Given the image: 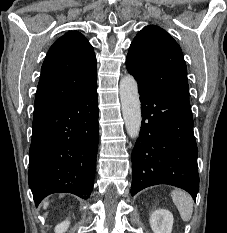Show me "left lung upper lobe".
Instances as JSON below:
<instances>
[{
    "label": "left lung upper lobe",
    "mask_w": 227,
    "mask_h": 233,
    "mask_svg": "<svg viewBox=\"0 0 227 233\" xmlns=\"http://www.w3.org/2000/svg\"><path fill=\"white\" fill-rule=\"evenodd\" d=\"M126 68L138 84L189 103L187 67L181 48L162 28L149 25L136 35Z\"/></svg>",
    "instance_id": "5c2ea615"
}]
</instances>
